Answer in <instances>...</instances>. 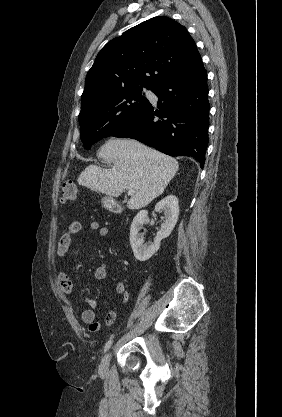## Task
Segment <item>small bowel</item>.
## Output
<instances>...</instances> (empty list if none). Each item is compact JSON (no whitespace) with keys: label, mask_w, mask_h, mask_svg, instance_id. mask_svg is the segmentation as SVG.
<instances>
[{"label":"small bowel","mask_w":282,"mask_h":417,"mask_svg":"<svg viewBox=\"0 0 282 417\" xmlns=\"http://www.w3.org/2000/svg\"><path fill=\"white\" fill-rule=\"evenodd\" d=\"M89 228L92 231H97L99 237L102 239H106L110 235L109 228L106 226H100L96 221H92L89 224ZM81 229L82 223L78 220H74L68 225L67 230L62 234L58 242V246L56 249V256L58 258H62L67 254L73 236L78 234L81 231ZM95 278L100 281L108 280V272L105 266H99L95 270ZM57 280L61 290L66 295H72L73 282L70 276L64 270L58 271ZM114 291L117 295L121 296L122 304L128 301L129 292L127 291L123 282H117L114 286ZM84 300L90 308L82 313V320L88 326L90 332H97L100 329V324L96 321L97 301L89 296L84 297ZM116 316V309L110 310L106 315L105 324L107 326H111L115 322Z\"/></svg>","instance_id":"1"}]
</instances>
